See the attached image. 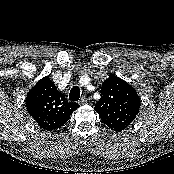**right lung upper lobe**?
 Instances as JSON below:
<instances>
[{
  "label": "right lung upper lobe",
  "instance_id": "obj_1",
  "mask_svg": "<svg viewBox=\"0 0 174 174\" xmlns=\"http://www.w3.org/2000/svg\"><path fill=\"white\" fill-rule=\"evenodd\" d=\"M28 113L44 130H56L63 126L79 105L68 102L46 76L28 92L25 99Z\"/></svg>",
  "mask_w": 174,
  "mask_h": 174
}]
</instances>
